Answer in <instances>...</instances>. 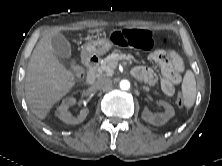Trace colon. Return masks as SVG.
Masks as SVG:
<instances>
[{"label":"colon","instance_id":"colon-1","mask_svg":"<svg viewBox=\"0 0 222 166\" xmlns=\"http://www.w3.org/2000/svg\"><path fill=\"white\" fill-rule=\"evenodd\" d=\"M111 41L118 46L133 47L143 50H149L153 46L151 32L144 29H124L117 31L112 34ZM161 42L167 44L169 39L163 37ZM73 75L80 79L83 77V70L80 67H74ZM176 104L178 107L183 106V99L181 96L177 97Z\"/></svg>","mask_w":222,"mask_h":166}]
</instances>
